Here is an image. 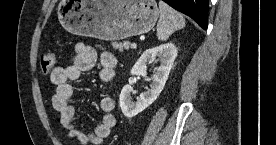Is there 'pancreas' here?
I'll return each mask as SVG.
<instances>
[{
  "instance_id": "1",
  "label": "pancreas",
  "mask_w": 276,
  "mask_h": 145,
  "mask_svg": "<svg viewBox=\"0 0 276 145\" xmlns=\"http://www.w3.org/2000/svg\"><path fill=\"white\" fill-rule=\"evenodd\" d=\"M113 47H114L115 49H118L120 52H123L124 50H128V49H129V47H130V42H128V41L119 42V43L115 42V43L113 44Z\"/></svg>"
}]
</instances>
